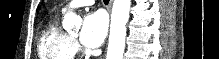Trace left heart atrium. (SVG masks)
Masks as SVG:
<instances>
[{"label": "left heart atrium", "instance_id": "39dd6f15", "mask_svg": "<svg viewBox=\"0 0 219 59\" xmlns=\"http://www.w3.org/2000/svg\"><path fill=\"white\" fill-rule=\"evenodd\" d=\"M108 21L101 11L89 13L85 16L80 40L83 45L89 48L100 46L107 34Z\"/></svg>", "mask_w": 219, "mask_h": 59}]
</instances>
